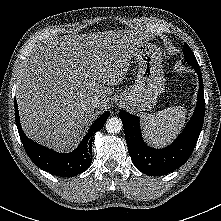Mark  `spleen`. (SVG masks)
I'll list each match as a JSON object with an SVG mask.
<instances>
[{"label":"spleen","instance_id":"3e777b00","mask_svg":"<svg viewBox=\"0 0 221 221\" xmlns=\"http://www.w3.org/2000/svg\"><path fill=\"white\" fill-rule=\"evenodd\" d=\"M142 128L145 138L155 146L169 143L184 126L186 109L172 106L154 114H144Z\"/></svg>","mask_w":221,"mask_h":221}]
</instances>
